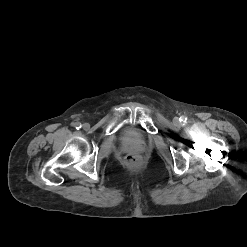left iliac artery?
I'll return each mask as SVG.
<instances>
[{
  "instance_id": "44dca946",
  "label": "left iliac artery",
  "mask_w": 247,
  "mask_h": 247,
  "mask_svg": "<svg viewBox=\"0 0 247 247\" xmlns=\"http://www.w3.org/2000/svg\"><path fill=\"white\" fill-rule=\"evenodd\" d=\"M180 120L186 122L187 118L185 116L180 117Z\"/></svg>"
}]
</instances>
